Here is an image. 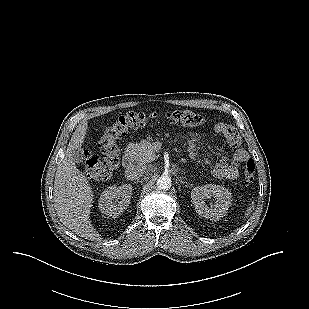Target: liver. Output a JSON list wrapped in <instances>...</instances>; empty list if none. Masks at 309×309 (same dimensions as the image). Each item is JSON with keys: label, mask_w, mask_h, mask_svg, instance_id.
Segmentation results:
<instances>
[{"label": "liver", "mask_w": 309, "mask_h": 309, "mask_svg": "<svg viewBox=\"0 0 309 309\" xmlns=\"http://www.w3.org/2000/svg\"><path fill=\"white\" fill-rule=\"evenodd\" d=\"M87 127L86 121L79 124L69 141L65 157L56 171L53 200L63 225L83 238L99 241L101 237L90 220L92 189L85 175L77 169L71 154L72 149L81 148Z\"/></svg>", "instance_id": "6515ba94"}]
</instances>
